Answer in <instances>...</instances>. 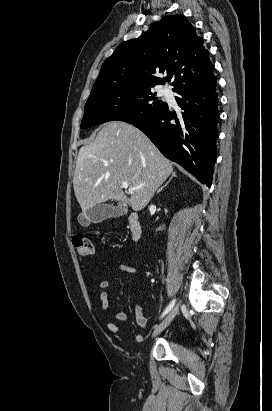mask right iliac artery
I'll list each match as a JSON object with an SVG mask.
<instances>
[{
	"label": "right iliac artery",
	"instance_id": "82829eb1",
	"mask_svg": "<svg viewBox=\"0 0 272 411\" xmlns=\"http://www.w3.org/2000/svg\"><path fill=\"white\" fill-rule=\"evenodd\" d=\"M175 305V299H173L170 304L166 307V309L164 310L163 314L161 315V318H163Z\"/></svg>",
	"mask_w": 272,
	"mask_h": 411
}]
</instances>
